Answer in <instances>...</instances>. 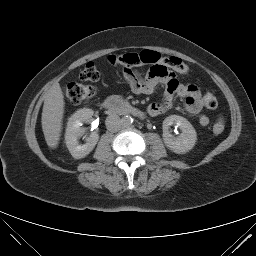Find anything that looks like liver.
Segmentation results:
<instances>
[{
  "mask_svg": "<svg viewBox=\"0 0 256 256\" xmlns=\"http://www.w3.org/2000/svg\"><path fill=\"white\" fill-rule=\"evenodd\" d=\"M64 96L59 83L52 85L44 100L41 123L47 145L55 149L60 140L64 114Z\"/></svg>",
  "mask_w": 256,
  "mask_h": 256,
  "instance_id": "liver-1",
  "label": "liver"
}]
</instances>
